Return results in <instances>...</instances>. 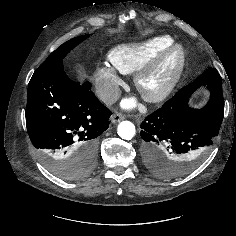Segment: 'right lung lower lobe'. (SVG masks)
<instances>
[{
    "mask_svg": "<svg viewBox=\"0 0 236 236\" xmlns=\"http://www.w3.org/2000/svg\"><path fill=\"white\" fill-rule=\"evenodd\" d=\"M25 114L30 140L43 156L96 161L98 137L111 112L89 82L71 81L58 64L34 72Z\"/></svg>",
    "mask_w": 236,
    "mask_h": 236,
    "instance_id": "obj_1",
    "label": "right lung lower lobe"
}]
</instances>
